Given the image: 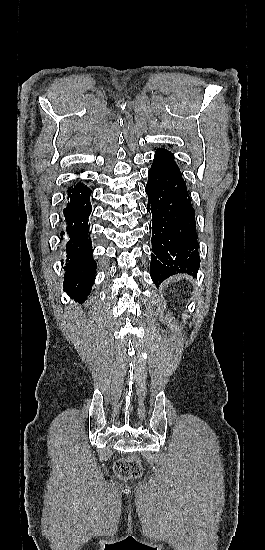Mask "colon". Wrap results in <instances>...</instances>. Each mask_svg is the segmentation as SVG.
I'll return each mask as SVG.
<instances>
[{
  "label": "colon",
  "instance_id": "obj_1",
  "mask_svg": "<svg viewBox=\"0 0 265 550\" xmlns=\"http://www.w3.org/2000/svg\"><path fill=\"white\" fill-rule=\"evenodd\" d=\"M143 468L137 457L119 459L114 464V472L121 479H133L142 474Z\"/></svg>",
  "mask_w": 265,
  "mask_h": 550
}]
</instances>
